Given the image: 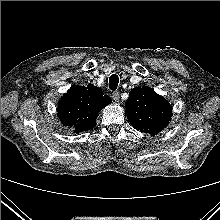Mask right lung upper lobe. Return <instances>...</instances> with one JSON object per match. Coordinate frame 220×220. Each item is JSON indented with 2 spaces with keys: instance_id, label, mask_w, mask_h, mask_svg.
I'll return each instance as SVG.
<instances>
[{
  "instance_id": "right-lung-upper-lobe-1",
  "label": "right lung upper lobe",
  "mask_w": 220,
  "mask_h": 220,
  "mask_svg": "<svg viewBox=\"0 0 220 220\" xmlns=\"http://www.w3.org/2000/svg\"><path fill=\"white\" fill-rule=\"evenodd\" d=\"M111 102L97 86L73 85L58 102V116L61 123L75 133L87 131L95 126L100 110Z\"/></svg>"
}]
</instances>
